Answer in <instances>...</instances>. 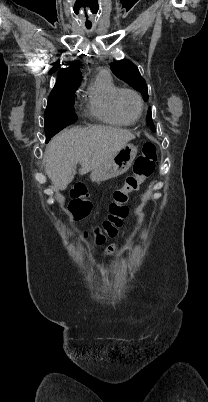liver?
I'll return each instance as SVG.
<instances>
[{
	"mask_svg": "<svg viewBox=\"0 0 208 402\" xmlns=\"http://www.w3.org/2000/svg\"><path fill=\"white\" fill-rule=\"evenodd\" d=\"M135 136L129 130L111 126L71 128L52 138L44 154L46 176L53 186L65 190L72 182L77 164L80 174H88L105 164Z\"/></svg>",
	"mask_w": 208,
	"mask_h": 402,
	"instance_id": "obj_1",
	"label": "liver"
}]
</instances>
